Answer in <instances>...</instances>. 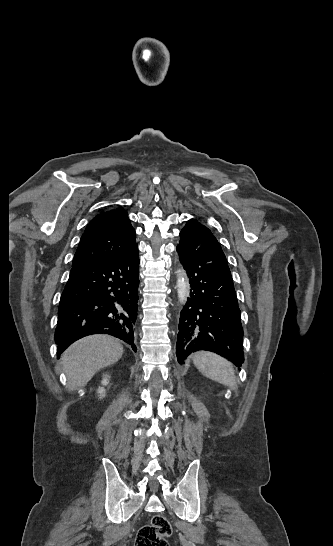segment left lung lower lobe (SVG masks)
<instances>
[{
  "instance_id": "left-lung-lower-lobe-1",
  "label": "left lung lower lobe",
  "mask_w": 333,
  "mask_h": 546,
  "mask_svg": "<svg viewBox=\"0 0 333 546\" xmlns=\"http://www.w3.org/2000/svg\"><path fill=\"white\" fill-rule=\"evenodd\" d=\"M190 278V297L180 313L176 355L207 350L240 367L244 362L243 328L226 257L212 232L194 219L180 232L176 248Z\"/></svg>"
}]
</instances>
